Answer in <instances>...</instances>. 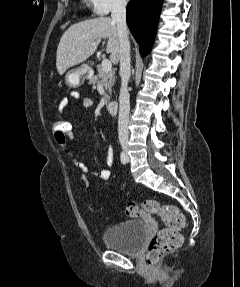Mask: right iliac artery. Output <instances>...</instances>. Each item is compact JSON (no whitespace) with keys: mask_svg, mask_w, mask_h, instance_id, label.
Wrapping results in <instances>:
<instances>
[{"mask_svg":"<svg viewBox=\"0 0 240 287\" xmlns=\"http://www.w3.org/2000/svg\"><path fill=\"white\" fill-rule=\"evenodd\" d=\"M120 160L122 164H126L127 161H126V156L124 152H121Z\"/></svg>","mask_w":240,"mask_h":287,"instance_id":"right-iliac-artery-1","label":"right iliac artery"}]
</instances>
